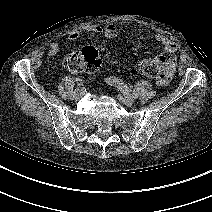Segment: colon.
<instances>
[{
    "instance_id": "1",
    "label": "colon",
    "mask_w": 212,
    "mask_h": 212,
    "mask_svg": "<svg viewBox=\"0 0 212 212\" xmlns=\"http://www.w3.org/2000/svg\"><path fill=\"white\" fill-rule=\"evenodd\" d=\"M165 64V59L162 57L145 58L138 62L137 70L146 77L161 80ZM62 66L71 73L94 72L100 66L99 53L94 47H85L81 52H74L64 57Z\"/></svg>"
}]
</instances>
